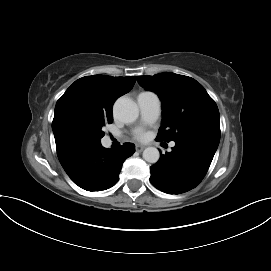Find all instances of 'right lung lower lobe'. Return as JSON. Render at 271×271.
I'll use <instances>...</instances> for the list:
<instances>
[{
	"label": "right lung lower lobe",
	"instance_id": "98d812e1",
	"mask_svg": "<svg viewBox=\"0 0 271 271\" xmlns=\"http://www.w3.org/2000/svg\"><path fill=\"white\" fill-rule=\"evenodd\" d=\"M135 146L124 143L116 151L102 145L71 159L62 167L79 187L87 191L106 190L116 184L125 159L133 155Z\"/></svg>",
	"mask_w": 271,
	"mask_h": 271
}]
</instances>
